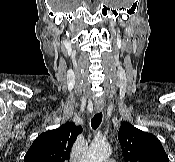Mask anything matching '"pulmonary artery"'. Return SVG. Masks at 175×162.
Wrapping results in <instances>:
<instances>
[{
	"label": "pulmonary artery",
	"mask_w": 175,
	"mask_h": 162,
	"mask_svg": "<svg viewBox=\"0 0 175 162\" xmlns=\"http://www.w3.org/2000/svg\"><path fill=\"white\" fill-rule=\"evenodd\" d=\"M103 162H115V161L114 160L107 159V160H104Z\"/></svg>",
	"instance_id": "e3ab8cb5"
}]
</instances>
